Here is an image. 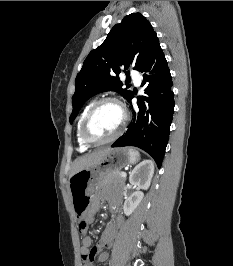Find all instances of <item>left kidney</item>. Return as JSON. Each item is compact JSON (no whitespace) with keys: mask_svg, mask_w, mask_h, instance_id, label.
<instances>
[{"mask_svg":"<svg viewBox=\"0 0 233 266\" xmlns=\"http://www.w3.org/2000/svg\"><path fill=\"white\" fill-rule=\"evenodd\" d=\"M154 174V164L151 160H143L130 173L129 182L138 189L147 190ZM144 194L136 191L126 198L123 206L124 214L129 216L137 208Z\"/></svg>","mask_w":233,"mask_h":266,"instance_id":"left-kidney-1","label":"left kidney"}]
</instances>
